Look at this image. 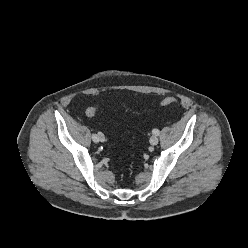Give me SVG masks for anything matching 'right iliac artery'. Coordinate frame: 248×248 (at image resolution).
Segmentation results:
<instances>
[{
  "label": "right iliac artery",
  "instance_id": "82829eb1",
  "mask_svg": "<svg viewBox=\"0 0 248 248\" xmlns=\"http://www.w3.org/2000/svg\"><path fill=\"white\" fill-rule=\"evenodd\" d=\"M96 136H97L96 134H93V135H92V141H93V143H94L95 145H97V144L99 143Z\"/></svg>",
  "mask_w": 248,
  "mask_h": 248
}]
</instances>
